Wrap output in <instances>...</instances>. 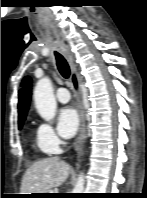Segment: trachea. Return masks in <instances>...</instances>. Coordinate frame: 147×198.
I'll return each mask as SVG.
<instances>
[{
  "instance_id": "trachea-1",
  "label": "trachea",
  "mask_w": 147,
  "mask_h": 198,
  "mask_svg": "<svg viewBox=\"0 0 147 198\" xmlns=\"http://www.w3.org/2000/svg\"><path fill=\"white\" fill-rule=\"evenodd\" d=\"M55 58H56L57 68H58L60 74L66 79L69 78L70 77V68H69V65H68L66 59L58 52H55Z\"/></svg>"
}]
</instances>
